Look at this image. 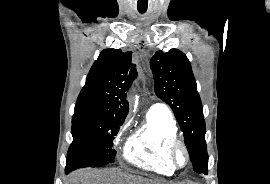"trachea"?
Listing matches in <instances>:
<instances>
[{
  "mask_svg": "<svg viewBox=\"0 0 270 184\" xmlns=\"http://www.w3.org/2000/svg\"><path fill=\"white\" fill-rule=\"evenodd\" d=\"M140 13H145L146 10H138Z\"/></svg>",
  "mask_w": 270,
  "mask_h": 184,
  "instance_id": "1",
  "label": "trachea"
}]
</instances>
